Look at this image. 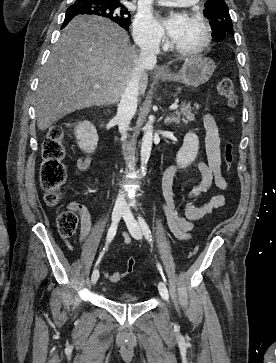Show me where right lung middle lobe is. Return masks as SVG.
<instances>
[{
	"mask_svg": "<svg viewBox=\"0 0 276 363\" xmlns=\"http://www.w3.org/2000/svg\"><path fill=\"white\" fill-rule=\"evenodd\" d=\"M78 14L98 15L109 18L123 28L127 29L130 24V14L121 2L105 0H75L67 11L66 16Z\"/></svg>",
	"mask_w": 276,
	"mask_h": 363,
	"instance_id": "obj_1",
	"label": "right lung middle lobe"
}]
</instances>
